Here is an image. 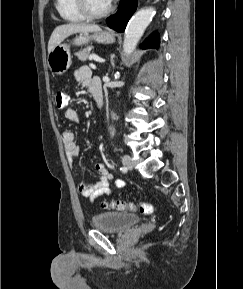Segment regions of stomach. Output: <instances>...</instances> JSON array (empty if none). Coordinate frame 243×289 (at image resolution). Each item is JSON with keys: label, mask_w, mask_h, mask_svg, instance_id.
<instances>
[{"label": "stomach", "mask_w": 243, "mask_h": 289, "mask_svg": "<svg viewBox=\"0 0 243 289\" xmlns=\"http://www.w3.org/2000/svg\"><path fill=\"white\" fill-rule=\"evenodd\" d=\"M91 40H95L99 43L110 44L115 42V37L114 35L102 30L94 32L92 35L89 33H80L72 40V44L81 46ZM71 58L70 44L61 42L48 54V68L53 74L61 75L70 67Z\"/></svg>", "instance_id": "0dacf381"}]
</instances>
